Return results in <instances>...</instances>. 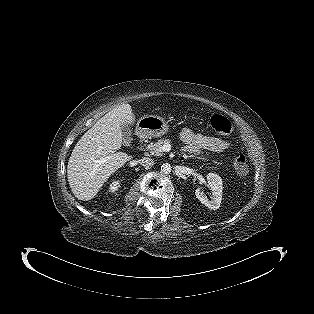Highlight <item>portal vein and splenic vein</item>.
Wrapping results in <instances>:
<instances>
[{
    "label": "portal vein and splenic vein",
    "mask_w": 314,
    "mask_h": 314,
    "mask_svg": "<svg viewBox=\"0 0 314 314\" xmlns=\"http://www.w3.org/2000/svg\"><path fill=\"white\" fill-rule=\"evenodd\" d=\"M170 150H171V145H170L169 143L164 144V145L160 148V151H161V152H162V151H164V152H169ZM106 161H107V159L104 158V159H102L100 162L104 163V162H106Z\"/></svg>",
    "instance_id": "18ae733b"
}]
</instances>
